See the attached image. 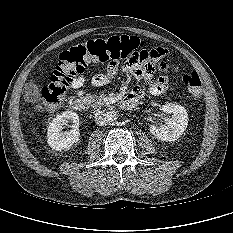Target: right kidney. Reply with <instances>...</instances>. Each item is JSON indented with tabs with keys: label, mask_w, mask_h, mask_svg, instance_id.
I'll return each mask as SVG.
<instances>
[{
	"label": "right kidney",
	"mask_w": 233,
	"mask_h": 233,
	"mask_svg": "<svg viewBox=\"0 0 233 233\" xmlns=\"http://www.w3.org/2000/svg\"><path fill=\"white\" fill-rule=\"evenodd\" d=\"M73 121L72 129L63 132L64 125ZM79 118L75 112L64 111L58 114L50 123L47 131V142L52 149L63 151L70 149L79 141Z\"/></svg>",
	"instance_id": "ca27d5eb"
}]
</instances>
